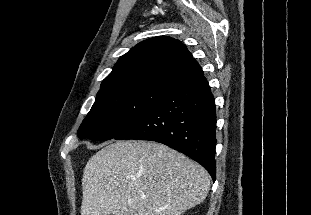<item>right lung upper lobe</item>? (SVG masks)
<instances>
[{
	"label": "right lung upper lobe",
	"mask_w": 311,
	"mask_h": 215,
	"mask_svg": "<svg viewBox=\"0 0 311 215\" xmlns=\"http://www.w3.org/2000/svg\"><path fill=\"white\" fill-rule=\"evenodd\" d=\"M200 65L181 41L167 36L144 40L124 54L102 81L100 91L141 83L171 84Z\"/></svg>",
	"instance_id": "right-lung-upper-lobe-1"
}]
</instances>
